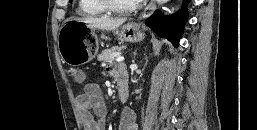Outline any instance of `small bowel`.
I'll return each instance as SVG.
<instances>
[{"label":"small bowel","mask_w":257,"mask_h":130,"mask_svg":"<svg viewBox=\"0 0 257 130\" xmlns=\"http://www.w3.org/2000/svg\"><path fill=\"white\" fill-rule=\"evenodd\" d=\"M107 69L117 81L119 79L127 81V74L122 66L107 65ZM76 100L83 130H105L107 108L99 86L93 83L87 84ZM118 130H137L136 116L131 109L123 110Z\"/></svg>","instance_id":"c3829d8e"}]
</instances>
